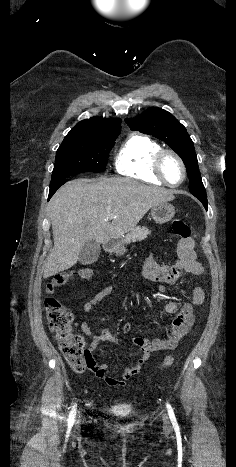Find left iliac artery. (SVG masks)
<instances>
[{
  "mask_svg": "<svg viewBox=\"0 0 236 467\" xmlns=\"http://www.w3.org/2000/svg\"><path fill=\"white\" fill-rule=\"evenodd\" d=\"M166 407H167L168 415H169V418L171 420L173 427H178V423H177L173 408L171 407L169 403L166 404Z\"/></svg>",
  "mask_w": 236,
  "mask_h": 467,
  "instance_id": "1",
  "label": "left iliac artery"
}]
</instances>
